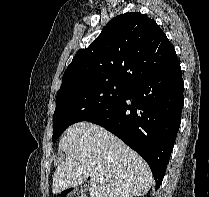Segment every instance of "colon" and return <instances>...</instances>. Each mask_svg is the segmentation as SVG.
Here are the masks:
<instances>
[{"label":"colon","mask_w":209,"mask_h":197,"mask_svg":"<svg viewBox=\"0 0 209 197\" xmlns=\"http://www.w3.org/2000/svg\"><path fill=\"white\" fill-rule=\"evenodd\" d=\"M61 197H86V196L78 191H68V192L62 193Z\"/></svg>","instance_id":"obj_1"}]
</instances>
